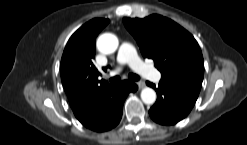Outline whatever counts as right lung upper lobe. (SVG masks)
Listing matches in <instances>:
<instances>
[{"mask_svg": "<svg viewBox=\"0 0 247 145\" xmlns=\"http://www.w3.org/2000/svg\"><path fill=\"white\" fill-rule=\"evenodd\" d=\"M108 23V19L90 20L70 37L64 49L60 67L61 80L76 117L86 112L114 87L104 80L98 81L100 73L93 63L95 39Z\"/></svg>", "mask_w": 247, "mask_h": 145, "instance_id": "right-lung-upper-lobe-1", "label": "right lung upper lobe"}]
</instances>
